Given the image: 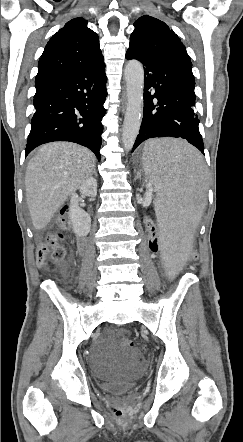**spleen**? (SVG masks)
<instances>
[{
	"mask_svg": "<svg viewBox=\"0 0 243 442\" xmlns=\"http://www.w3.org/2000/svg\"><path fill=\"white\" fill-rule=\"evenodd\" d=\"M140 176L156 184V213L164 239L159 253L167 274H180L197 220L204 212L201 202L205 192L204 163L201 154L187 142L176 139H153L145 143L140 156ZM188 237V238H187Z\"/></svg>",
	"mask_w": 243,
	"mask_h": 442,
	"instance_id": "spleen-1",
	"label": "spleen"
}]
</instances>
